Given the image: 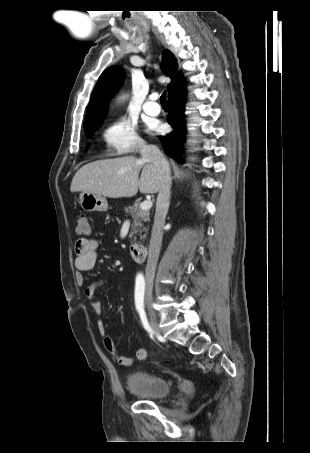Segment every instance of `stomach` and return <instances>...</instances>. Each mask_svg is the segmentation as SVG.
<instances>
[{"mask_svg": "<svg viewBox=\"0 0 310 453\" xmlns=\"http://www.w3.org/2000/svg\"><path fill=\"white\" fill-rule=\"evenodd\" d=\"M79 203L81 205V208L86 212H104L108 209L106 198L93 193L82 192L80 194Z\"/></svg>", "mask_w": 310, "mask_h": 453, "instance_id": "obj_1", "label": "stomach"}]
</instances>
